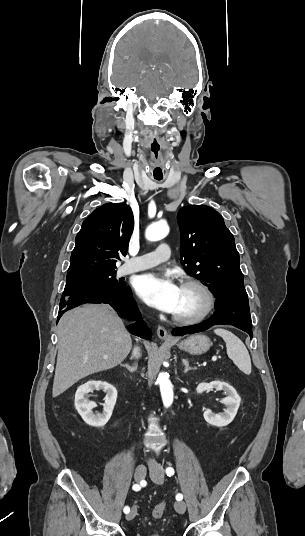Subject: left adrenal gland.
Returning <instances> with one entry per match:
<instances>
[{"mask_svg": "<svg viewBox=\"0 0 305 536\" xmlns=\"http://www.w3.org/2000/svg\"><path fill=\"white\" fill-rule=\"evenodd\" d=\"M183 364L185 366L184 374H187L188 370H194V368H190L189 362H187V360H184Z\"/></svg>", "mask_w": 305, "mask_h": 536, "instance_id": "left-adrenal-gland-1", "label": "left adrenal gland"}]
</instances>
